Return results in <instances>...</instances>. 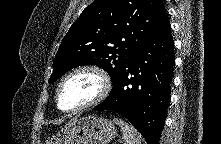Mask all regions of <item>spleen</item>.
<instances>
[{
	"instance_id": "3e777b00",
	"label": "spleen",
	"mask_w": 221,
	"mask_h": 144,
	"mask_svg": "<svg viewBox=\"0 0 221 144\" xmlns=\"http://www.w3.org/2000/svg\"><path fill=\"white\" fill-rule=\"evenodd\" d=\"M113 122L121 127L125 144H141L139 133L130 124L119 118Z\"/></svg>"
}]
</instances>
